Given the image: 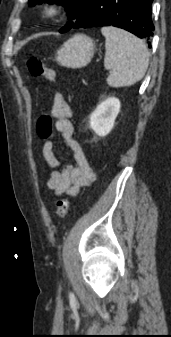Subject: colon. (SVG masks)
Here are the masks:
<instances>
[{
    "instance_id": "colon-1",
    "label": "colon",
    "mask_w": 171,
    "mask_h": 337,
    "mask_svg": "<svg viewBox=\"0 0 171 337\" xmlns=\"http://www.w3.org/2000/svg\"><path fill=\"white\" fill-rule=\"evenodd\" d=\"M27 68L33 77H41L49 80L55 78L54 71L46 66L41 60L36 57H31L27 61ZM36 131L40 138L49 139L52 136V118L48 114H43L39 117L36 123ZM69 209V200L65 196H61L57 200L55 216L64 218Z\"/></svg>"
}]
</instances>
